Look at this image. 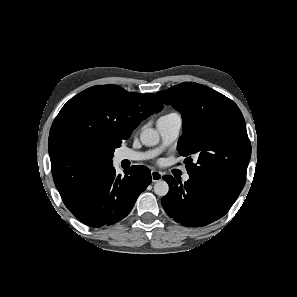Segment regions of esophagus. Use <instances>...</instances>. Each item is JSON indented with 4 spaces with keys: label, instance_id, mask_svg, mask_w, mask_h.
<instances>
[{
    "label": "esophagus",
    "instance_id": "esophagus-1",
    "mask_svg": "<svg viewBox=\"0 0 297 297\" xmlns=\"http://www.w3.org/2000/svg\"><path fill=\"white\" fill-rule=\"evenodd\" d=\"M151 178L153 182H157L162 180V174L159 171L152 170L151 171Z\"/></svg>",
    "mask_w": 297,
    "mask_h": 297
}]
</instances>
